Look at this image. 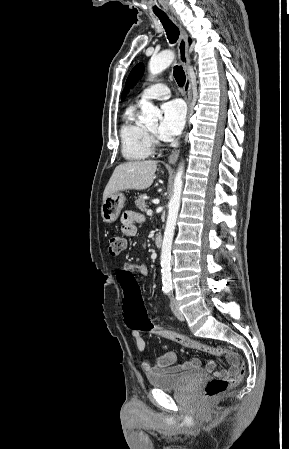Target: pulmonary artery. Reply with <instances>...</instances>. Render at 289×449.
Returning <instances> with one entry per match:
<instances>
[{
  "mask_svg": "<svg viewBox=\"0 0 289 449\" xmlns=\"http://www.w3.org/2000/svg\"><path fill=\"white\" fill-rule=\"evenodd\" d=\"M170 90L165 83L158 82L146 88L140 95L139 101L164 99L169 97Z\"/></svg>",
  "mask_w": 289,
  "mask_h": 449,
  "instance_id": "obj_1",
  "label": "pulmonary artery"
}]
</instances>
